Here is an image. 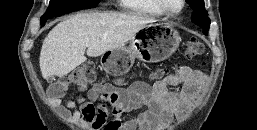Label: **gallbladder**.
<instances>
[{"label":"gallbladder","mask_w":257,"mask_h":130,"mask_svg":"<svg viewBox=\"0 0 257 130\" xmlns=\"http://www.w3.org/2000/svg\"><path fill=\"white\" fill-rule=\"evenodd\" d=\"M54 80V78L51 76L48 78V82H52Z\"/></svg>","instance_id":"1"}]
</instances>
